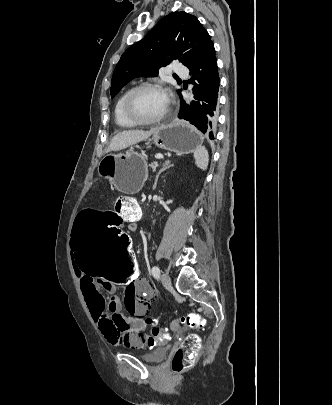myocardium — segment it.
<instances>
[{"mask_svg":"<svg viewBox=\"0 0 332 405\" xmlns=\"http://www.w3.org/2000/svg\"><path fill=\"white\" fill-rule=\"evenodd\" d=\"M147 89L159 90L164 93L163 88L159 84L147 82L132 88L123 101L122 109L125 117L136 125H150L159 123L166 119L171 113L170 102L168 101L167 110L162 115L153 119H142L137 117L132 110L133 99L139 92Z\"/></svg>","mask_w":332,"mask_h":405,"instance_id":"obj_1","label":"myocardium"}]
</instances>
